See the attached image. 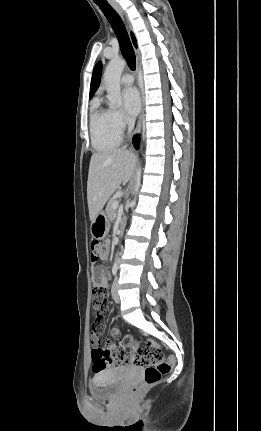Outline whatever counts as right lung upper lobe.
Returning <instances> with one entry per match:
<instances>
[{"label":"right lung upper lobe","instance_id":"1","mask_svg":"<svg viewBox=\"0 0 261 431\" xmlns=\"http://www.w3.org/2000/svg\"><path fill=\"white\" fill-rule=\"evenodd\" d=\"M131 36H132V40H133L134 45L137 46L136 39H135L133 33H131ZM101 71H102V63L99 61L96 64V66L94 68V71H93L91 85H90V95H89V98L92 97L93 93L96 91V89L100 85Z\"/></svg>","mask_w":261,"mask_h":431}]
</instances>
